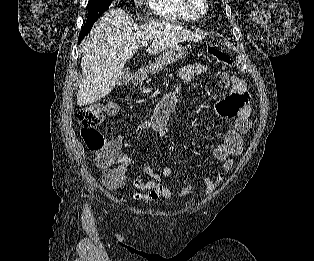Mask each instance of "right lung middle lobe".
<instances>
[{
    "mask_svg": "<svg viewBox=\"0 0 314 261\" xmlns=\"http://www.w3.org/2000/svg\"><path fill=\"white\" fill-rule=\"evenodd\" d=\"M113 0H90L85 25L93 24L111 5Z\"/></svg>",
    "mask_w": 314,
    "mask_h": 261,
    "instance_id": "dd1d6c3e",
    "label": "right lung middle lobe"
}]
</instances>
